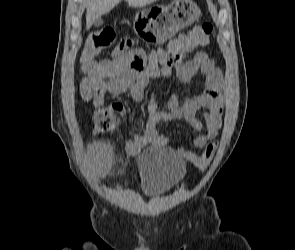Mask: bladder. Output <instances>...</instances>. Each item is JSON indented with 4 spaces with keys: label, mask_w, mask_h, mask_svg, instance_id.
Masks as SVG:
<instances>
[{
    "label": "bladder",
    "mask_w": 295,
    "mask_h": 250,
    "mask_svg": "<svg viewBox=\"0 0 295 250\" xmlns=\"http://www.w3.org/2000/svg\"><path fill=\"white\" fill-rule=\"evenodd\" d=\"M142 188L146 195L159 197L171 190L185 175L182 156L170 149L152 148L138 158Z\"/></svg>",
    "instance_id": "31cf9c89"
}]
</instances>
